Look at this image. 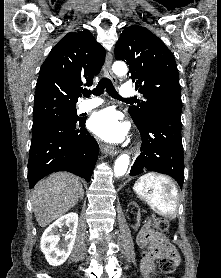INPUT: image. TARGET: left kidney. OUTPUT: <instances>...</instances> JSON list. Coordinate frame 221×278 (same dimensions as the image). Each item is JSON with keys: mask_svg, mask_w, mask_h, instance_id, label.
Returning <instances> with one entry per match:
<instances>
[{"mask_svg": "<svg viewBox=\"0 0 221 278\" xmlns=\"http://www.w3.org/2000/svg\"><path fill=\"white\" fill-rule=\"evenodd\" d=\"M130 205H134V206L138 207V205L135 202H131ZM137 221H138V223L140 221V209L138 210Z\"/></svg>", "mask_w": 221, "mask_h": 278, "instance_id": "left-kidney-1", "label": "left kidney"}]
</instances>
